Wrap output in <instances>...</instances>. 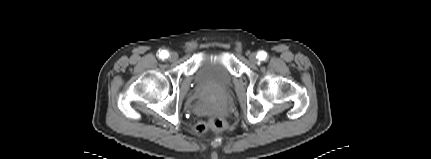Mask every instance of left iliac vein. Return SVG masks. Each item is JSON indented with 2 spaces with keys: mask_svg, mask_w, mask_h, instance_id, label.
I'll return each instance as SVG.
<instances>
[{
  "mask_svg": "<svg viewBox=\"0 0 431 159\" xmlns=\"http://www.w3.org/2000/svg\"><path fill=\"white\" fill-rule=\"evenodd\" d=\"M249 60H250L251 63L256 64L258 62V57H257V55L255 53H251L249 55Z\"/></svg>",
  "mask_w": 431,
  "mask_h": 159,
  "instance_id": "1",
  "label": "left iliac vein"
}]
</instances>
